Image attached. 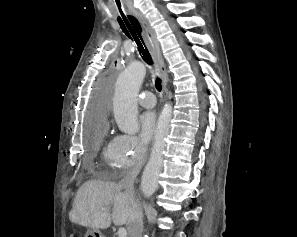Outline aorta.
Masks as SVG:
<instances>
[{"instance_id": "1", "label": "aorta", "mask_w": 297, "mask_h": 237, "mask_svg": "<svg viewBox=\"0 0 297 237\" xmlns=\"http://www.w3.org/2000/svg\"><path fill=\"white\" fill-rule=\"evenodd\" d=\"M145 75V65L140 61H133L116 81L113 112L118 128L123 133L136 134L139 131L137 96ZM171 120L172 106L166 104L159 116L154 145L142 174L141 190L147 198L151 197L158 187Z\"/></svg>"}]
</instances>
